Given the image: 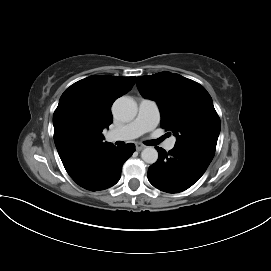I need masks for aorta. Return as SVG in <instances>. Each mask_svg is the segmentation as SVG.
Instances as JSON below:
<instances>
[{
  "mask_svg": "<svg viewBox=\"0 0 271 271\" xmlns=\"http://www.w3.org/2000/svg\"><path fill=\"white\" fill-rule=\"evenodd\" d=\"M114 115L122 121H130L137 114V104L130 97H120L113 104ZM141 158L148 164H153L158 159V152L154 147H146L141 152Z\"/></svg>",
  "mask_w": 271,
  "mask_h": 271,
  "instance_id": "aorta-1",
  "label": "aorta"
}]
</instances>
